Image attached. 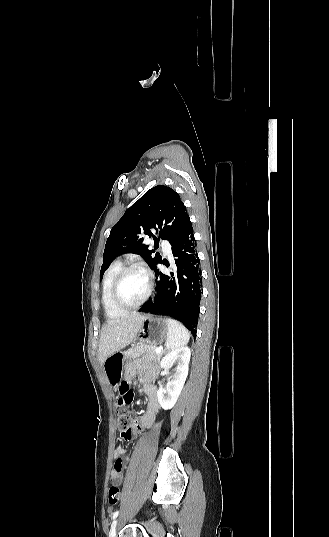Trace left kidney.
<instances>
[{
  "label": "left kidney",
  "mask_w": 329,
  "mask_h": 537,
  "mask_svg": "<svg viewBox=\"0 0 329 537\" xmlns=\"http://www.w3.org/2000/svg\"><path fill=\"white\" fill-rule=\"evenodd\" d=\"M190 355L188 347H181L170 351L160 362V366L165 369H169L174 362L177 363L175 372L168 379L166 388L157 391L158 401L164 410L171 409L177 402L188 375Z\"/></svg>",
  "instance_id": "left-kidney-1"
}]
</instances>
